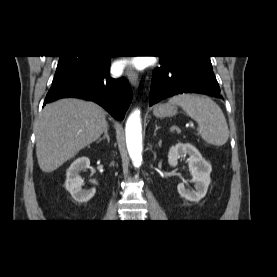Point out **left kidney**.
Here are the masks:
<instances>
[{
	"mask_svg": "<svg viewBox=\"0 0 277 277\" xmlns=\"http://www.w3.org/2000/svg\"><path fill=\"white\" fill-rule=\"evenodd\" d=\"M189 155L187 159L189 169L192 175L190 182L194 183L195 190L186 188L184 183H180L177 186L178 193L181 197L192 201L198 202L201 200L207 193L209 184L211 182L210 173L212 167L200 154V152L189 143H177L175 146H172L168 152V163L170 166H177L178 159L180 157Z\"/></svg>",
	"mask_w": 277,
	"mask_h": 277,
	"instance_id": "5707ae66",
	"label": "left kidney"
}]
</instances>
